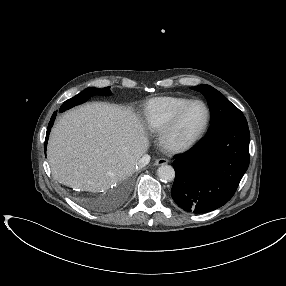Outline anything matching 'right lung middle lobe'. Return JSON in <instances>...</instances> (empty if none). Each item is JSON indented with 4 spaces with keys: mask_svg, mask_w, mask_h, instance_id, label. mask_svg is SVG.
Instances as JSON below:
<instances>
[{
    "mask_svg": "<svg viewBox=\"0 0 286 286\" xmlns=\"http://www.w3.org/2000/svg\"><path fill=\"white\" fill-rule=\"evenodd\" d=\"M111 91H110V87H105L103 89H99V88H86L85 90H83L82 92H80L79 94H77L76 96L66 100L62 106L60 107V112H63L71 107H74L76 105H79L85 101H87L91 96H95V95H110Z\"/></svg>",
    "mask_w": 286,
    "mask_h": 286,
    "instance_id": "1",
    "label": "right lung middle lobe"
}]
</instances>
